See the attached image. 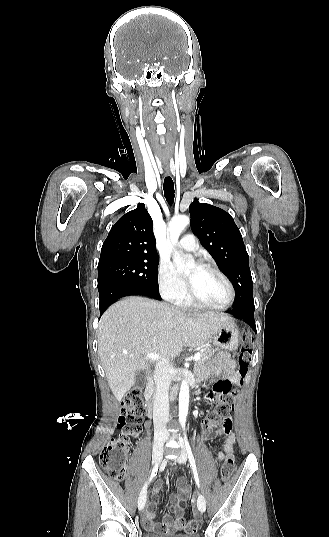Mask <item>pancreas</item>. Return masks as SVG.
<instances>
[{
	"label": "pancreas",
	"mask_w": 329,
	"mask_h": 537,
	"mask_svg": "<svg viewBox=\"0 0 329 537\" xmlns=\"http://www.w3.org/2000/svg\"><path fill=\"white\" fill-rule=\"evenodd\" d=\"M216 352V349L206 347L201 351V358L198 360L197 365H204Z\"/></svg>",
	"instance_id": "cf45deb5"
}]
</instances>
